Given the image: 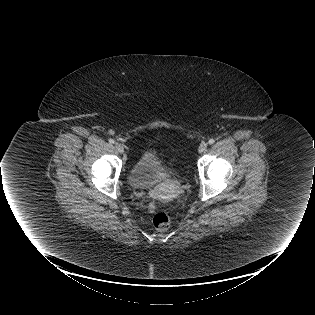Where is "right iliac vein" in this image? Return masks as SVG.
<instances>
[{
	"label": "right iliac vein",
	"mask_w": 315,
	"mask_h": 315,
	"mask_svg": "<svg viewBox=\"0 0 315 315\" xmlns=\"http://www.w3.org/2000/svg\"><path fill=\"white\" fill-rule=\"evenodd\" d=\"M115 147H116V149H117V151H118L119 153H123V152H124V147H123L122 144L116 143V144H115Z\"/></svg>",
	"instance_id": "63e3f726"
}]
</instances>
